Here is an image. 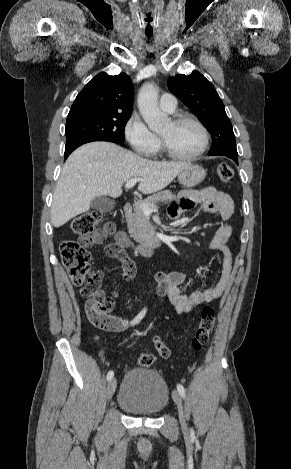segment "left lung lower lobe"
I'll return each mask as SVG.
<instances>
[{
    "label": "left lung lower lobe",
    "instance_id": "obj_1",
    "mask_svg": "<svg viewBox=\"0 0 291 469\" xmlns=\"http://www.w3.org/2000/svg\"><path fill=\"white\" fill-rule=\"evenodd\" d=\"M215 155H223V156H227L229 158H231L232 160H234V162L236 164H238V154H231V153H219V154H215Z\"/></svg>",
    "mask_w": 291,
    "mask_h": 469
}]
</instances>
